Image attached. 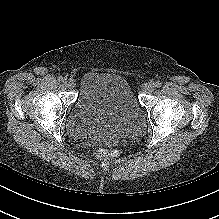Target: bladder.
<instances>
[{
	"label": "bladder",
	"instance_id": "bladder-1",
	"mask_svg": "<svg viewBox=\"0 0 219 219\" xmlns=\"http://www.w3.org/2000/svg\"><path fill=\"white\" fill-rule=\"evenodd\" d=\"M78 88L66 116V127L73 138L107 144L143 130V107L122 76L88 72L80 78Z\"/></svg>",
	"mask_w": 219,
	"mask_h": 219
}]
</instances>
